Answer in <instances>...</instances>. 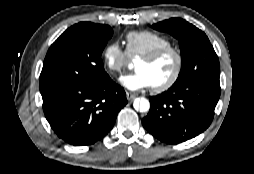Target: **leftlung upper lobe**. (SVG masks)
Segmentation results:
<instances>
[{
	"label": "left lung upper lobe",
	"instance_id": "5c2ea615",
	"mask_svg": "<svg viewBox=\"0 0 254 174\" xmlns=\"http://www.w3.org/2000/svg\"><path fill=\"white\" fill-rule=\"evenodd\" d=\"M152 27L170 33L179 41L182 67L173 87L196 81L219 82V60L203 31L180 18H171Z\"/></svg>",
	"mask_w": 254,
	"mask_h": 174
}]
</instances>
